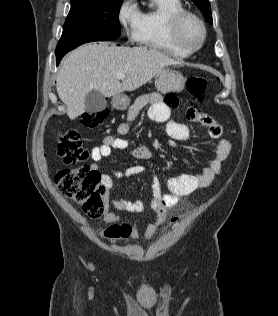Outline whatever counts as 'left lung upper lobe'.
<instances>
[{"mask_svg":"<svg viewBox=\"0 0 278 316\" xmlns=\"http://www.w3.org/2000/svg\"><path fill=\"white\" fill-rule=\"evenodd\" d=\"M192 1L200 8L206 20L210 24H213L209 0H192Z\"/></svg>","mask_w":278,"mask_h":316,"instance_id":"obj_1","label":"left lung upper lobe"}]
</instances>
